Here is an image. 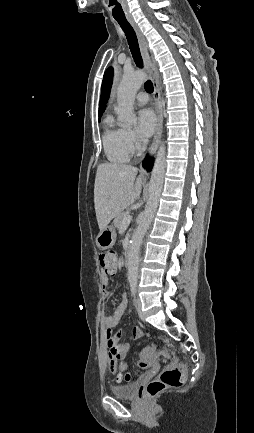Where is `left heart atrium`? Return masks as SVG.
Here are the masks:
<instances>
[{"label": "left heart atrium", "mask_w": 254, "mask_h": 433, "mask_svg": "<svg viewBox=\"0 0 254 433\" xmlns=\"http://www.w3.org/2000/svg\"><path fill=\"white\" fill-rule=\"evenodd\" d=\"M156 115L149 109L144 108L138 113V132L143 137L152 135L156 126Z\"/></svg>", "instance_id": "1"}]
</instances>
